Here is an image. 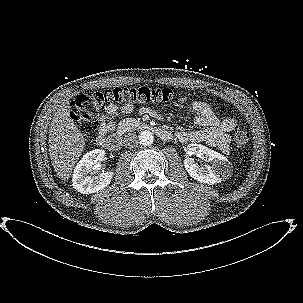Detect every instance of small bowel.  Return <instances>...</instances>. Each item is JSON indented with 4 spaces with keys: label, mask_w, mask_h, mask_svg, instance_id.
<instances>
[{
    "label": "small bowel",
    "mask_w": 303,
    "mask_h": 303,
    "mask_svg": "<svg viewBox=\"0 0 303 303\" xmlns=\"http://www.w3.org/2000/svg\"><path fill=\"white\" fill-rule=\"evenodd\" d=\"M187 100L185 96L178 99L183 103ZM191 107L198 113L195 123L202 129L194 131L179 130L175 133L180 142H205L210 146L219 147L223 152L229 150V132L237 125V120L227 118L220 120L212 111L210 105L204 101H193ZM133 107L129 105H111L104 109L100 120L99 137H105L114 128V118L132 112ZM140 113L147 116L155 115L154 111L147 107H142ZM98 137V138H99Z\"/></svg>",
    "instance_id": "c3829d8e"
}]
</instances>
